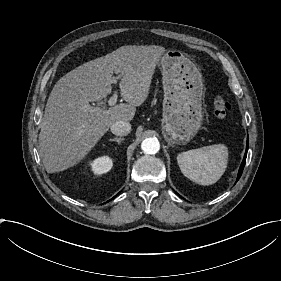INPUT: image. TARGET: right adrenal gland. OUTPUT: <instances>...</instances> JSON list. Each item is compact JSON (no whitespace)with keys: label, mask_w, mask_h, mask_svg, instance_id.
I'll return each mask as SVG.
<instances>
[{"label":"right adrenal gland","mask_w":281,"mask_h":281,"mask_svg":"<svg viewBox=\"0 0 281 281\" xmlns=\"http://www.w3.org/2000/svg\"><path fill=\"white\" fill-rule=\"evenodd\" d=\"M124 140V138H121V137H115V138H111V139H109V141H111V142H113V141H115V142H117L119 145L121 144V142Z\"/></svg>","instance_id":"1"}]
</instances>
